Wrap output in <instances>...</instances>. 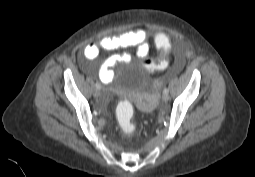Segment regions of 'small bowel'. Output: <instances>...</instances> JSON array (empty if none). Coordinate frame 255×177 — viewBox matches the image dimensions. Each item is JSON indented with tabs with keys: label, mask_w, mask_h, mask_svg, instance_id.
<instances>
[{
	"label": "small bowel",
	"mask_w": 255,
	"mask_h": 177,
	"mask_svg": "<svg viewBox=\"0 0 255 177\" xmlns=\"http://www.w3.org/2000/svg\"><path fill=\"white\" fill-rule=\"evenodd\" d=\"M171 44V43H170ZM127 47H136L137 56L146 57L150 52L149 35L144 29L125 32L117 36L103 37L98 43H91L85 46L80 63L83 69L90 73L91 67L87 61L94 60L98 57L100 49L117 50ZM131 60L129 53H117L110 55L105 59L99 69V78L103 83H109L113 77V68L119 63H127ZM181 65V60H178Z\"/></svg>",
	"instance_id": "obj_1"
}]
</instances>
